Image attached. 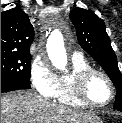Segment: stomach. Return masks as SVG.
Wrapping results in <instances>:
<instances>
[{
  "mask_svg": "<svg viewBox=\"0 0 122 123\" xmlns=\"http://www.w3.org/2000/svg\"><path fill=\"white\" fill-rule=\"evenodd\" d=\"M88 123H103V122H102V120H100V119H93V120H91V121L88 122Z\"/></svg>",
  "mask_w": 122,
  "mask_h": 123,
  "instance_id": "0dacf381",
  "label": "stomach"
}]
</instances>
